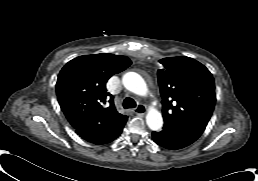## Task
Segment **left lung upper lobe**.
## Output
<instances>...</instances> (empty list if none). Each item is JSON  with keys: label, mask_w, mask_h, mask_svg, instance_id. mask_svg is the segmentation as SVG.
I'll return each instance as SVG.
<instances>
[{"label": "left lung upper lobe", "mask_w": 258, "mask_h": 181, "mask_svg": "<svg viewBox=\"0 0 258 181\" xmlns=\"http://www.w3.org/2000/svg\"><path fill=\"white\" fill-rule=\"evenodd\" d=\"M158 70L165 123L203 133L212 115L216 96L212 74L198 61L169 57Z\"/></svg>", "instance_id": "left-lung-upper-lobe-1"}]
</instances>
